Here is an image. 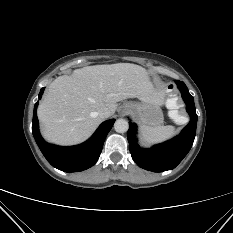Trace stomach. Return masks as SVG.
Masks as SVG:
<instances>
[{
    "label": "stomach",
    "instance_id": "1",
    "mask_svg": "<svg viewBox=\"0 0 233 233\" xmlns=\"http://www.w3.org/2000/svg\"><path fill=\"white\" fill-rule=\"evenodd\" d=\"M124 106L142 126L155 127L163 123V113L159 105L151 100L137 98L136 101L124 103Z\"/></svg>",
    "mask_w": 233,
    "mask_h": 233
}]
</instances>
